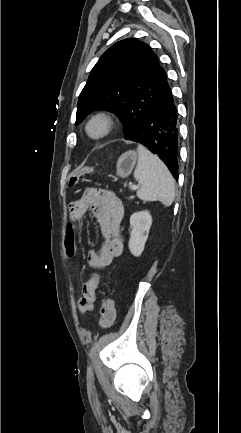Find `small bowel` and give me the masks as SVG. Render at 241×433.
Wrapping results in <instances>:
<instances>
[{"label": "small bowel", "instance_id": "obj_1", "mask_svg": "<svg viewBox=\"0 0 241 433\" xmlns=\"http://www.w3.org/2000/svg\"><path fill=\"white\" fill-rule=\"evenodd\" d=\"M87 210H91L104 237V244L101 249L98 252L92 250L88 253V264L93 269L103 270L106 269L114 259L123 254L124 245L120 225L124 217V206L121 199L109 190L87 188L83 196L74 201L70 206V217L76 220L73 226L77 227L78 219L85 214ZM68 226L70 225L68 224ZM72 252H75V246ZM97 296V286L92 287L90 279L82 288V297L78 302L80 313L83 314L90 311Z\"/></svg>", "mask_w": 241, "mask_h": 433}]
</instances>
